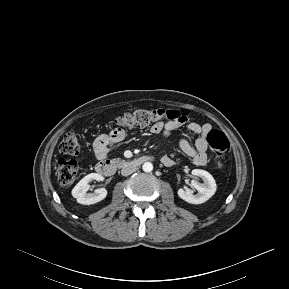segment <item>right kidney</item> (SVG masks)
Returning <instances> with one entry per match:
<instances>
[{
    "mask_svg": "<svg viewBox=\"0 0 289 289\" xmlns=\"http://www.w3.org/2000/svg\"><path fill=\"white\" fill-rule=\"evenodd\" d=\"M92 180L103 181L104 177L98 173H90L81 179L72 190V196L76 198L77 202L83 205H91L102 201L107 196V190L100 188L94 193H87Z\"/></svg>",
    "mask_w": 289,
    "mask_h": 289,
    "instance_id": "ca27d5eb",
    "label": "right kidney"
}]
</instances>
